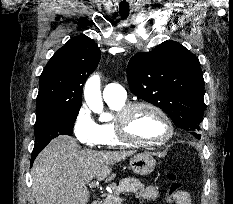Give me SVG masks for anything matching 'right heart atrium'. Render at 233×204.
I'll return each mask as SVG.
<instances>
[{"label":"right heart atrium","instance_id":"d8ad5b80","mask_svg":"<svg viewBox=\"0 0 233 204\" xmlns=\"http://www.w3.org/2000/svg\"><path fill=\"white\" fill-rule=\"evenodd\" d=\"M98 126L89 109L86 106H82L74 117L72 130L79 143L86 147L93 148L100 145Z\"/></svg>","mask_w":233,"mask_h":204}]
</instances>
